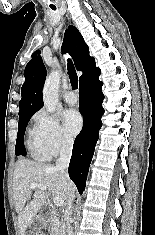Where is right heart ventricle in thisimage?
Here are the masks:
<instances>
[{"instance_id":"e07e8e85","label":"right heart ventricle","mask_w":155,"mask_h":235,"mask_svg":"<svg viewBox=\"0 0 155 235\" xmlns=\"http://www.w3.org/2000/svg\"><path fill=\"white\" fill-rule=\"evenodd\" d=\"M28 148L32 157L36 160H47L50 158V155L40 146L37 142L33 131L31 132L29 139H28Z\"/></svg>"}]
</instances>
